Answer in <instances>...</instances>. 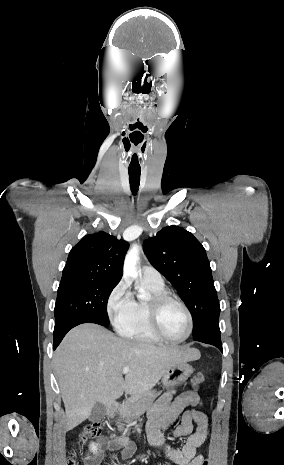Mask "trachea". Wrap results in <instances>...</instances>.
Listing matches in <instances>:
<instances>
[{
    "label": "trachea",
    "mask_w": 284,
    "mask_h": 465,
    "mask_svg": "<svg viewBox=\"0 0 284 465\" xmlns=\"http://www.w3.org/2000/svg\"><path fill=\"white\" fill-rule=\"evenodd\" d=\"M128 174H129V182H130L131 191L133 195H136L138 192L141 170L140 169L128 170Z\"/></svg>",
    "instance_id": "trachea-1"
}]
</instances>
